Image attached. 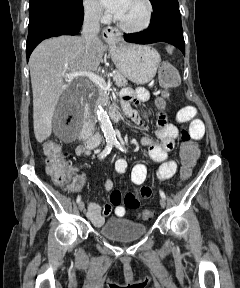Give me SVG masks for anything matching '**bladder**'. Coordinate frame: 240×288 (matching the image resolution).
<instances>
[{"label": "bladder", "instance_id": "31cf9c89", "mask_svg": "<svg viewBox=\"0 0 240 288\" xmlns=\"http://www.w3.org/2000/svg\"><path fill=\"white\" fill-rule=\"evenodd\" d=\"M147 232V227L138 222L128 219H112L106 222L99 229V233L115 241H129L143 237Z\"/></svg>", "mask_w": 240, "mask_h": 288}]
</instances>
